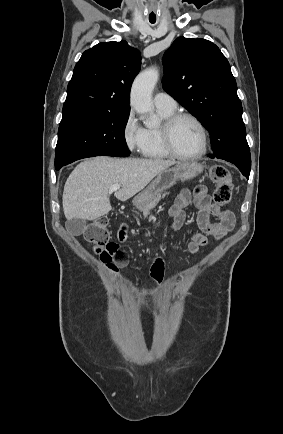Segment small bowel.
<instances>
[{
	"instance_id": "c3829d8e",
	"label": "small bowel",
	"mask_w": 283,
	"mask_h": 434,
	"mask_svg": "<svg viewBox=\"0 0 283 434\" xmlns=\"http://www.w3.org/2000/svg\"><path fill=\"white\" fill-rule=\"evenodd\" d=\"M194 201L200 212L197 217L198 230H195L187 237V248L191 254H197L199 251L208 246V236L217 240L222 239L230 232L235 224L234 215L229 211H222L218 206L212 205L209 199L207 188L203 185L196 187L193 191L184 189L176 197L175 203L170 209L172 217V226L179 230L185 223L184 209ZM211 216L218 218V221H212ZM128 237L127 227L122 226L117 234V240L111 242L105 252L100 255V260L104 266L111 272L117 273L120 269L128 264V255L121 248V244ZM164 272V263L161 258H156L151 269L152 279L158 283L162 279Z\"/></svg>"
}]
</instances>
